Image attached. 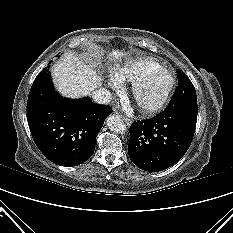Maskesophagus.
<instances>
[{
  "instance_id": "1",
  "label": "esophagus",
  "mask_w": 233,
  "mask_h": 233,
  "mask_svg": "<svg viewBox=\"0 0 233 233\" xmlns=\"http://www.w3.org/2000/svg\"><path fill=\"white\" fill-rule=\"evenodd\" d=\"M122 119L124 120V122L127 124V125H130L131 124V120L128 119L127 117H122Z\"/></svg>"
}]
</instances>
